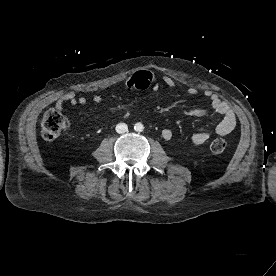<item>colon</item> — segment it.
<instances>
[{
  "label": "colon",
  "instance_id": "obj_1",
  "mask_svg": "<svg viewBox=\"0 0 276 276\" xmlns=\"http://www.w3.org/2000/svg\"><path fill=\"white\" fill-rule=\"evenodd\" d=\"M69 127L67 117L56 108L45 110L41 120V133L44 139L54 140L63 134ZM227 148V142L223 138H215L210 144L213 153H222Z\"/></svg>",
  "mask_w": 276,
  "mask_h": 276
}]
</instances>
